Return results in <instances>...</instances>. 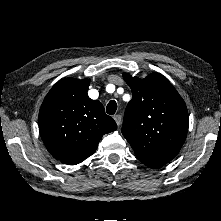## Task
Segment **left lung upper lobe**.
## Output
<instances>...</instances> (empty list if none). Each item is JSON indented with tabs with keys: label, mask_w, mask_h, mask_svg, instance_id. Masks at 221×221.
<instances>
[{
	"label": "left lung upper lobe",
	"mask_w": 221,
	"mask_h": 221,
	"mask_svg": "<svg viewBox=\"0 0 221 221\" xmlns=\"http://www.w3.org/2000/svg\"><path fill=\"white\" fill-rule=\"evenodd\" d=\"M132 90L122 134L136 156L166 164L182 147L189 125L185 102L172 84L161 74L144 79L124 73Z\"/></svg>",
	"instance_id": "5c2ea615"
}]
</instances>
